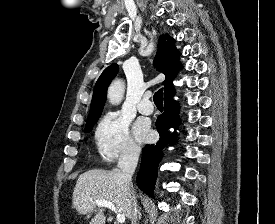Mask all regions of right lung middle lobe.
<instances>
[{
	"label": "right lung middle lobe",
	"instance_id": "obj_1",
	"mask_svg": "<svg viewBox=\"0 0 275 224\" xmlns=\"http://www.w3.org/2000/svg\"><path fill=\"white\" fill-rule=\"evenodd\" d=\"M97 120H94V121L89 122V123L86 124V126H85V133L90 132L92 130V128H93V126H94V124H95V122Z\"/></svg>",
	"mask_w": 275,
	"mask_h": 224
}]
</instances>
